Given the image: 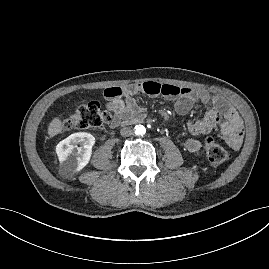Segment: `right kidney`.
I'll use <instances>...</instances> for the list:
<instances>
[{"label": "right kidney", "instance_id": "1", "mask_svg": "<svg viewBox=\"0 0 269 269\" xmlns=\"http://www.w3.org/2000/svg\"><path fill=\"white\" fill-rule=\"evenodd\" d=\"M94 144L95 137L92 134L77 132L59 142L56 153L64 169L80 171L89 163Z\"/></svg>", "mask_w": 269, "mask_h": 269}]
</instances>
